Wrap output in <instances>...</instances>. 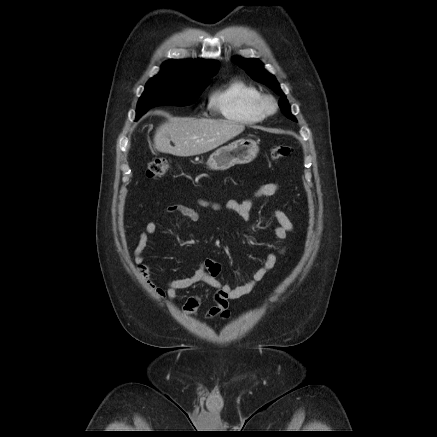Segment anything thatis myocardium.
I'll return each mask as SVG.
<instances>
[{
	"label": "myocardium",
	"instance_id": "myocardium-1",
	"mask_svg": "<svg viewBox=\"0 0 437 437\" xmlns=\"http://www.w3.org/2000/svg\"><path fill=\"white\" fill-rule=\"evenodd\" d=\"M258 107L264 115H272L277 111L278 105L271 95H261L258 100Z\"/></svg>",
	"mask_w": 437,
	"mask_h": 437
}]
</instances>
